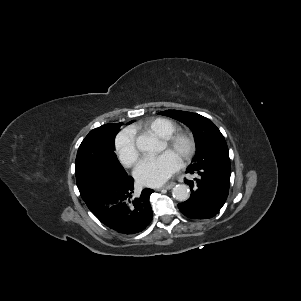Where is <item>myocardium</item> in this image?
I'll use <instances>...</instances> for the list:
<instances>
[{
	"mask_svg": "<svg viewBox=\"0 0 301 301\" xmlns=\"http://www.w3.org/2000/svg\"><path fill=\"white\" fill-rule=\"evenodd\" d=\"M166 147L173 149H181V160L183 162L190 161L196 153L197 144L192 133L181 131L173 133L171 136L163 138Z\"/></svg>",
	"mask_w": 301,
	"mask_h": 301,
	"instance_id": "obj_1",
	"label": "myocardium"
}]
</instances>
